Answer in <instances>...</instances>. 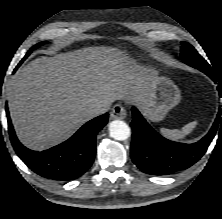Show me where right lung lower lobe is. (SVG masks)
Listing matches in <instances>:
<instances>
[{
    "instance_id": "obj_1",
    "label": "right lung lower lobe",
    "mask_w": 222,
    "mask_h": 219,
    "mask_svg": "<svg viewBox=\"0 0 222 219\" xmlns=\"http://www.w3.org/2000/svg\"><path fill=\"white\" fill-rule=\"evenodd\" d=\"M26 57L27 54L24 58ZM6 113L11 143L17 155L38 175L57 181L74 180L91 167L96 154V135L108 122V113L98 116L83 125L67 141L37 152L24 147L18 141L7 104Z\"/></svg>"
}]
</instances>
